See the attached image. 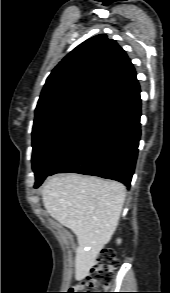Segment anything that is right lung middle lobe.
Wrapping results in <instances>:
<instances>
[{"mask_svg":"<svg viewBox=\"0 0 170 293\" xmlns=\"http://www.w3.org/2000/svg\"><path fill=\"white\" fill-rule=\"evenodd\" d=\"M106 107L77 104L34 124L32 167L35 185L50 174L56 163L86 134Z\"/></svg>","mask_w":170,"mask_h":293,"instance_id":"obj_1","label":"right lung middle lobe"}]
</instances>
